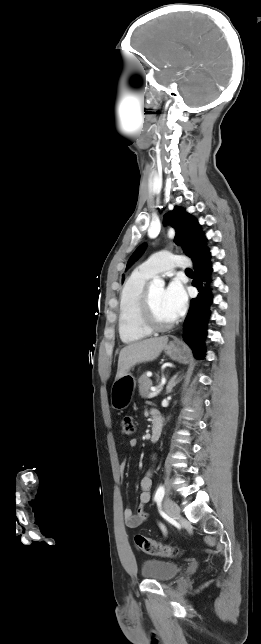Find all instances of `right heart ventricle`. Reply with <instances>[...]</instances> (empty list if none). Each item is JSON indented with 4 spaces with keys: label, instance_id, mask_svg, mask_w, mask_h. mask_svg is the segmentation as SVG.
Returning a JSON list of instances; mask_svg holds the SVG:
<instances>
[{
    "label": "right heart ventricle",
    "instance_id": "1",
    "mask_svg": "<svg viewBox=\"0 0 261 644\" xmlns=\"http://www.w3.org/2000/svg\"><path fill=\"white\" fill-rule=\"evenodd\" d=\"M151 276L140 270L134 271L125 281L119 300L118 332L122 342L132 344L150 335L140 322V301L147 280Z\"/></svg>",
    "mask_w": 261,
    "mask_h": 644
}]
</instances>
